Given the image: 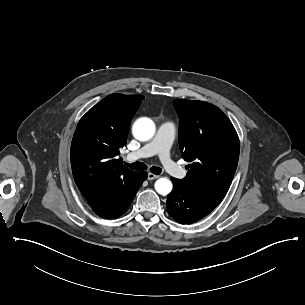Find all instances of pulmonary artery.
<instances>
[{
	"label": "pulmonary artery",
	"mask_w": 305,
	"mask_h": 305,
	"mask_svg": "<svg viewBox=\"0 0 305 305\" xmlns=\"http://www.w3.org/2000/svg\"><path fill=\"white\" fill-rule=\"evenodd\" d=\"M175 127L171 122L161 123L155 135L141 149L130 152L128 158L133 161H140L145 156L157 155L162 161L161 166L165 172H169L176 179L185 177L186 172L178 168L175 161L170 158V147L174 138Z\"/></svg>",
	"instance_id": "1"
}]
</instances>
